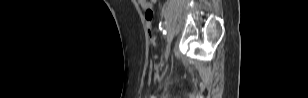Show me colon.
<instances>
[{
    "instance_id": "colon-1",
    "label": "colon",
    "mask_w": 308,
    "mask_h": 98,
    "mask_svg": "<svg viewBox=\"0 0 308 98\" xmlns=\"http://www.w3.org/2000/svg\"><path fill=\"white\" fill-rule=\"evenodd\" d=\"M153 16H154V13L152 9L145 10V22H146L147 33L149 36V41L152 46H155L156 36L154 34L153 25H152Z\"/></svg>"
}]
</instances>
